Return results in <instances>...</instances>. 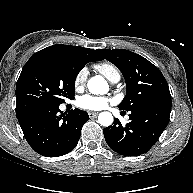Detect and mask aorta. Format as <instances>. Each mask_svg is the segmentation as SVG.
Instances as JSON below:
<instances>
[{"instance_id": "aorta-1", "label": "aorta", "mask_w": 193, "mask_h": 193, "mask_svg": "<svg viewBox=\"0 0 193 193\" xmlns=\"http://www.w3.org/2000/svg\"><path fill=\"white\" fill-rule=\"evenodd\" d=\"M87 87L92 94H105L109 90L108 83L102 76H94L88 80ZM98 122L105 127L113 123V116L110 112H101L98 116Z\"/></svg>"}]
</instances>
